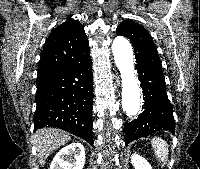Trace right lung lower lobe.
<instances>
[{
  "mask_svg": "<svg viewBox=\"0 0 200 169\" xmlns=\"http://www.w3.org/2000/svg\"><path fill=\"white\" fill-rule=\"evenodd\" d=\"M92 82L90 53L71 66L38 75L34 130L61 128L93 145Z\"/></svg>",
  "mask_w": 200,
  "mask_h": 169,
  "instance_id": "98d812e1",
  "label": "right lung lower lobe"
}]
</instances>
